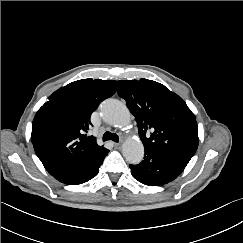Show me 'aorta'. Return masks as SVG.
Masks as SVG:
<instances>
[{"mask_svg":"<svg viewBox=\"0 0 243 243\" xmlns=\"http://www.w3.org/2000/svg\"><path fill=\"white\" fill-rule=\"evenodd\" d=\"M102 118L108 124L123 130L131 123V114L124 103L108 99L101 106ZM122 154L131 164H139L144 156V146L138 138L128 137L122 146Z\"/></svg>","mask_w":243,"mask_h":243,"instance_id":"762f6f07","label":"aorta"}]
</instances>
